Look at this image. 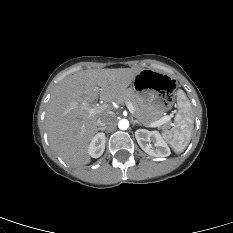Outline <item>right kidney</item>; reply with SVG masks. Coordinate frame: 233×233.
I'll return each instance as SVG.
<instances>
[{
  "mask_svg": "<svg viewBox=\"0 0 233 233\" xmlns=\"http://www.w3.org/2000/svg\"><path fill=\"white\" fill-rule=\"evenodd\" d=\"M105 134L97 133L88 146V153L93 158L100 157L105 149Z\"/></svg>",
  "mask_w": 233,
  "mask_h": 233,
  "instance_id": "ca27d5eb",
  "label": "right kidney"
}]
</instances>
